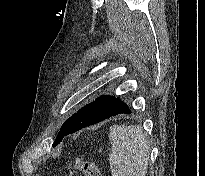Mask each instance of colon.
<instances>
[{
	"instance_id": "obj_1",
	"label": "colon",
	"mask_w": 205,
	"mask_h": 176,
	"mask_svg": "<svg viewBox=\"0 0 205 176\" xmlns=\"http://www.w3.org/2000/svg\"><path fill=\"white\" fill-rule=\"evenodd\" d=\"M73 167L82 172L81 176H102L95 163L83 158H77L73 163Z\"/></svg>"
}]
</instances>
